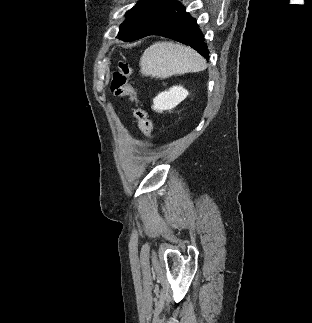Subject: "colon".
I'll return each mask as SVG.
<instances>
[{
	"label": "colon",
	"instance_id": "1",
	"mask_svg": "<svg viewBox=\"0 0 312 323\" xmlns=\"http://www.w3.org/2000/svg\"><path fill=\"white\" fill-rule=\"evenodd\" d=\"M130 73L131 66L129 62L126 60L121 61L119 70L114 73L111 91L113 96L117 98L128 97L135 104V115L139 128L144 137L151 138L153 134V124L148 113L141 106L135 87L128 80Z\"/></svg>",
	"mask_w": 312,
	"mask_h": 323
}]
</instances>
